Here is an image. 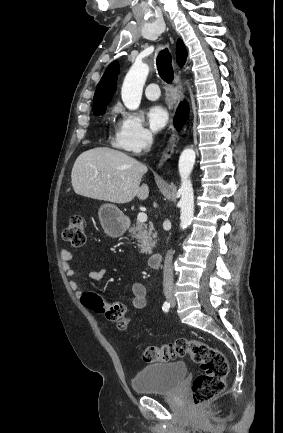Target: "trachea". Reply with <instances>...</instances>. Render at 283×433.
Wrapping results in <instances>:
<instances>
[{"label": "trachea", "mask_w": 283, "mask_h": 433, "mask_svg": "<svg viewBox=\"0 0 283 433\" xmlns=\"http://www.w3.org/2000/svg\"><path fill=\"white\" fill-rule=\"evenodd\" d=\"M156 63L162 80L166 83H171L174 78V71L172 68V57L167 48L158 52Z\"/></svg>", "instance_id": "trachea-1"}]
</instances>
